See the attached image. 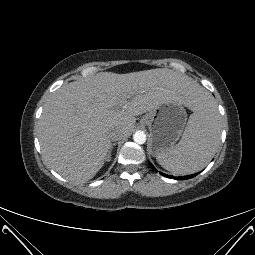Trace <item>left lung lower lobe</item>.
<instances>
[{
  "label": "left lung lower lobe",
  "mask_w": 255,
  "mask_h": 255,
  "mask_svg": "<svg viewBox=\"0 0 255 255\" xmlns=\"http://www.w3.org/2000/svg\"><path fill=\"white\" fill-rule=\"evenodd\" d=\"M149 164H150V167L152 168V170H155L154 166L150 162H149ZM160 174L165 176V177L174 178V179H177V180H186V179L193 178L197 175V173H196V174L189 175V176L173 177L171 175H167V174H164V173H161V172H160Z\"/></svg>",
  "instance_id": "1"
}]
</instances>
